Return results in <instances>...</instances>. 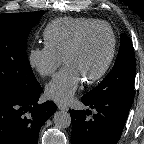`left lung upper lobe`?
<instances>
[{
  "instance_id": "left-lung-upper-lobe-1",
  "label": "left lung upper lobe",
  "mask_w": 144,
  "mask_h": 144,
  "mask_svg": "<svg viewBox=\"0 0 144 144\" xmlns=\"http://www.w3.org/2000/svg\"><path fill=\"white\" fill-rule=\"evenodd\" d=\"M136 61L130 38L121 34V44L115 64L106 78L83 97L97 99L104 96H117L134 99Z\"/></svg>"
}]
</instances>
